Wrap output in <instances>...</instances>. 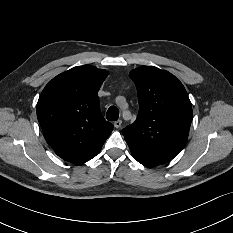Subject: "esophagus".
<instances>
[{
	"label": "esophagus",
	"instance_id": "1",
	"mask_svg": "<svg viewBox=\"0 0 233 233\" xmlns=\"http://www.w3.org/2000/svg\"><path fill=\"white\" fill-rule=\"evenodd\" d=\"M121 125H122V120H117L114 122L115 128H120Z\"/></svg>",
	"mask_w": 233,
	"mask_h": 233
}]
</instances>
